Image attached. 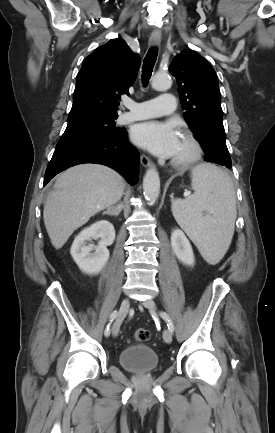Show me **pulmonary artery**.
Wrapping results in <instances>:
<instances>
[{
	"label": "pulmonary artery",
	"mask_w": 275,
	"mask_h": 433,
	"mask_svg": "<svg viewBox=\"0 0 275 433\" xmlns=\"http://www.w3.org/2000/svg\"><path fill=\"white\" fill-rule=\"evenodd\" d=\"M124 106L128 111L120 116V121L128 123L155 116L170 115L176 108V100L173 94L162 93L160 96L144 102L128 100Z\"/></svg>",
	"instance_id": "1"
}]
</instances>
